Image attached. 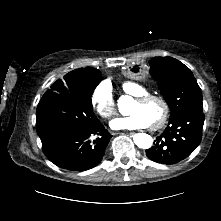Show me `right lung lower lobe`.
Returning <instances> with one entry per match:
<instances>
[{
	"label": "right lung lower lobe",
	"instance_id": "98d812e1",
	"mask_svg": "<svg viewBox=\"0 0 221 221\" xmlns=\"http://www.w3.org/2000/svg\"><path fill=\"white\" fill-rule=\"evenodd\" d=\"M111 137L98 121L90 128L71 132L43 145V151L51 162L63 169L86 171L100 163Z\"/></svg>",
	"mask_w": 221,
	"mask_h": 221
}]
</instances>
